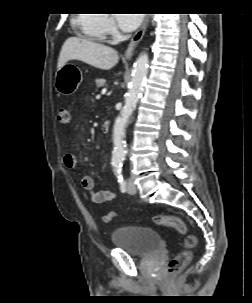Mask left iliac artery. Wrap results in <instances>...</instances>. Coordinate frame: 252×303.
<instances>
[{"label":"left iliac artery","instance_id":"1","mask_svg":"<svg viewBox=\"0 0 252 303\" xmlns=\"http://www.w3.org/2000/svg\"><path fill=\"white\" fill-rule=\"evenodd\" d=\"M114 172H115V175L118 178V182L120 184L121 191L125 192V180H124L123 175H122V169H121V167L120 166H116L114 168Z\"/></svg>","mask_w":252,"mask_h":303}]
</instances>
